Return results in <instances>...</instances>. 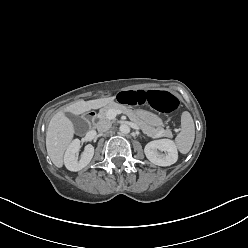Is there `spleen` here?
I'll return each mask as SVG.
<instances>
[{
    "instance_id": "obj_1",
    "label": "spleen",
    "mask_w": 248,
    "mask_h": 248,
    "mask_svg": "<svg viewBox=\"0 0 248 248\" xmlns=\"http://www.w3.org/2000/svg\"><path fill=\"white\" fill-rule=\"evenodd\" d=\"M195 139V125L191 114L184 111L181 115V131L175 138L177 148L182 154L190 151Z\"/></svg>"
}]
</instances>
